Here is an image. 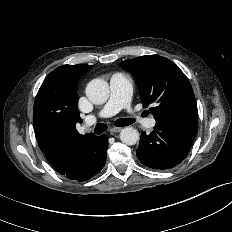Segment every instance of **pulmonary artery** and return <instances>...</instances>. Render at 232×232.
Masks as SVG:
<instances>
[{
    "label": "pulmonary artery",
    "instance_id": "1",
    "mask_svg": "<svg viewBox=\"0 0 232 232\" xmlns=\"http://www.w3.org/2000/svg\"><path fill=\"white\" fill-rule=\"evenodd\" d=\"M132 87L129 78L123 73H115L110 79V98L97 114L87 116L86 124L92 125L97 118H109L119 111L126 109L135 121H140V116L130 106ZM143 124L148 128H153L156 124L154 118L143 120Z\"/></svg>",
    "mask_w": 232,
    "mask_h": 232
}]
</instances>
